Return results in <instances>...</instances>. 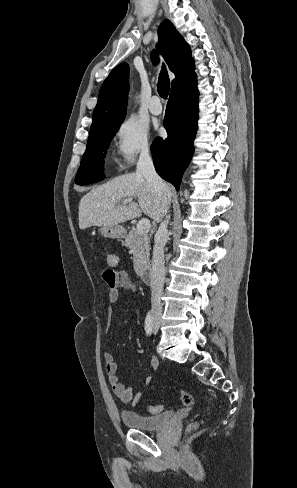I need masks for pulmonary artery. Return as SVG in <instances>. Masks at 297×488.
Here are the masks:
<instances>
[{
	"label": "pulmonary artery",
	"mask_w": 297,
	"mask_h": 488,
	"mask_svg": "<svg viewBox=\"0 0 297 488\" xmlns=\"http://www.w3.org/2000/svg\"><path fill=\"white\" fill-rule=\"evenodd\" d=\"M149 111L154 115H160L162 113V106L158 96H153L150 102Z\"/></svg>",
	"instance_id": "obj_1"
}]
</instances>
